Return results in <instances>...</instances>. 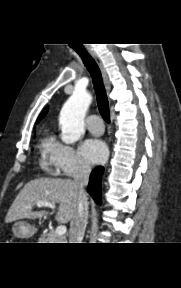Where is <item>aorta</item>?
I'll return each instance as SVG.
<instances>
[{"label": "aorta", "instance_id": "aorta-1", "mask_svg": "<svg viewBox=\"0 0 181 288\" xmlns=\"http://www.w3.org/2000/svg\"><path fill=\"white\" fill-rule=\"evenodd\" d=\"M92 101L86 91H75L64 104L59 118L61 139L66 144H72L84 133V118Z\"/></svg>", "mask_w": 181, "mask_h": 288}]
</instances>
